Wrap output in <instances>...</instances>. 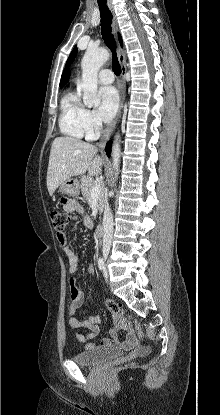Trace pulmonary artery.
<instances>
[{
	"label": "pulmonary artery",
	"instance_id": "obj_1",
	"mask_svg": "<svg viewBox=\"0 0 220 415\" xmlns=\"http://www.w3.org/2000/svg\"><path fill=\"white\" fill-rule=\"evenodd\" d=\"M98 79L102 84H111L114 81V74L109 69H103L100 71Z\"/></svg>",
	"mask_w": 220,
	"mask_h": 415
}]
</instances>
